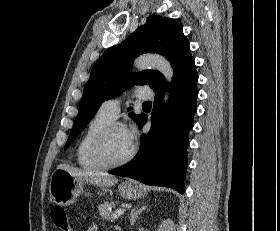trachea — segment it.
Listing matches in <instances>:
<instances>
[{"label": "trachea", "mask_w": 280, "mask_h": 231, "mask_svg": "<svg viewBox=\"0 0 280 231\" xmlns=\"http://www.w3.org/2000/svg\"><path fill=\"white\" fill-rule=\"evenodd\" d=\"M144 110H150L152 107V103L151 102H144L142 105Z\"/></svg>", "instance_id": "1"}]
</instances>
